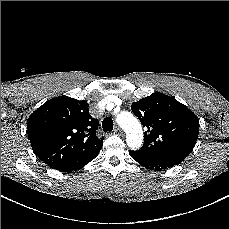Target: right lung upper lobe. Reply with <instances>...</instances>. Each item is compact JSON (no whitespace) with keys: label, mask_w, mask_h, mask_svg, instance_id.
Returning <instances> with one entry per match:
<instances>
[{"label":"right lung upper lobe","mask_w":229,"mask_h":229,"mask_svg":"<svg viewBox=\"0 0 229 229\" xmlns=\"http://www.w3.org/2000/svg\"><path fill=\"white\" fill-rule=\"evenodd\" d=\"M87 101L60 96L48 100L27 120L34 154L50 167L63 170L102 148L96 135L98 120L89 114Z\"/></svg>","instance_id":"cb5924a9"}]
</instances>
